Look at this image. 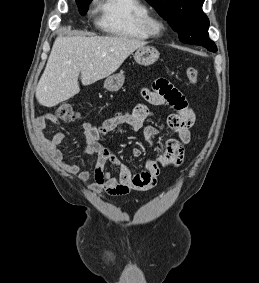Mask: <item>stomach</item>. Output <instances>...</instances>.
<instances>
[{
  "instance_id": "1",
  "label": "stomach",
  "mask_w": 259,
  "mask_h": 283,
  "mask_svg": "<svg viewBox=\"0 0 259 283\" xmlns=\"http://www.w3.org/2000/svg\"><path fill=\"white\" fill-rule=\"evenodd\" d=\"M159 58V51L153 46H143L136 50L134 54L135 61L143 66H149L155 63ZM125 77L123 73H117L106 78L104 88L110 92L118 91L124 84Z\"/></svg>"
}]
</instances>
